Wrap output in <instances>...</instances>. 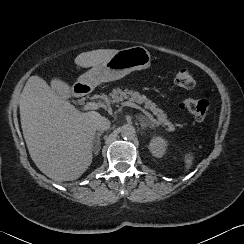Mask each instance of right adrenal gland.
Listing matches in <instances>:
<instances>
[{
  "mask_svg": "<svg viewBox=\"0 0 244 244\" xmlns=\"http://www.w3.org/2000/svg\"><path fill=\"white\" fill-rule=\"evenodd\" d=\"M103 134V132H98L96 133L94 142H93V151L95 155H98L100 149H101V135Z\"/></svg>",
  "mask_w": 244,
  "mask_h": 244,
  "instance_id": "1",
  "label": "right adrenal gland"
}]
</instances>
